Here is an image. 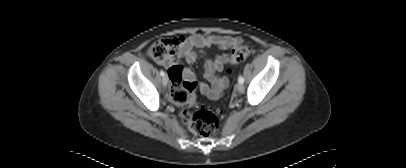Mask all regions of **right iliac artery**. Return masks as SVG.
<instances>
[{"instance_id": "82829eb1", "label": "right iliac artery", "mask_w": 406, "mask_h": 168, "mask_svg": "<svg viewBox=\"0 0 406 168\" xmlns=\"http://www.w3.org/2000/svg\"><path fill=\"white\" fill-rule=\"evenodd\" d=\"M160 75H161V76H164V75H165V72H164L163 70H161V71H160Z\"/></svg>"}]
</instances>
